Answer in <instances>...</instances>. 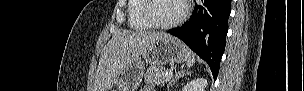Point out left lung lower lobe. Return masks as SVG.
I'll use <instances>...</instances> for the list:
<instances>
[{"label": "left lung lower lobe", "mask_w": 304, "mask_h": 91, "mask_svg": "<svg viewBox=\"0 0 304 91\" xmlns=\"http://www.w3.org/2000/svg\"><path fill=\"white\" fill-rule=\"evenodd\" d=\"M230 12L231 0H200L189 21L168 31L208 63L214 80L225 49Z\"/></svg>", "instance_id": "1"}]
</instances>
